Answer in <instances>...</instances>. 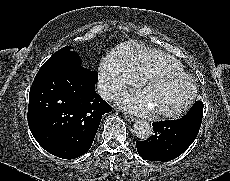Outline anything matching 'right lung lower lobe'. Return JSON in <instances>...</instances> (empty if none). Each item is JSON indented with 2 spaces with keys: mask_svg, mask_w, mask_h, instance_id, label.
<instances>
[{
  "mask_svg": "<svg viewBox=\"0 0 230 181\" xmlns=\"http://www.w3.org/2000/svg\"><path fill=\"white\" fill-rule=\"evenodd\" d=\"M97 79V72L81 65L36 75L28 124L47 152L74 159L90 149L102 115L112 110L95 91Z\"/></svg>",
  "mask_w": 230,
  "mask_h": 181,
  "instance_id": "1",
  "label": "right lung lower lobe"
}]
</instances>
